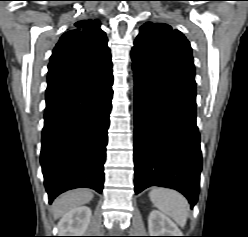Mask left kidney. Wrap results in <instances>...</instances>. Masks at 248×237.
I'll list each match as a JSON object with an SVG mask.
<instances>
[{
    "label": "left kidney",
    "mask_w": 248,
    "mask_h": 237,
    "mask_svg": "<svg viewBox=\"0 0 248 237\" xmlns=\"http://www.w3.org/2000/svg\"><path fill=\"white\" fill-rule=\"evenodd\" d=\"M149 236H182L176 224L167 216L153 210L148 218Z\"/></svg>",
    "instance_id": "left-kidney-1"
}]
</instances>
